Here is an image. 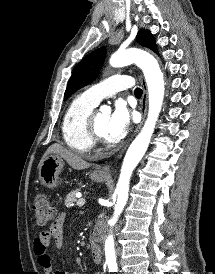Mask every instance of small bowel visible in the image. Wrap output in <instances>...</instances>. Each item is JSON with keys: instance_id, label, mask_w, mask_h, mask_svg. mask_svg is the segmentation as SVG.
<instances>
[{"instance_id": "1", "label": "small bowel", "mask_w": 215, "mask_h": 274, "mask_svg": "<svg viewBox=\"0 0 215 274\" xmlns=\"http://www.w3.org/2000/svg\"><path fill=\"white\" fill-rule=\"evenodd\" d=\"M65 222V214H60L49 230L42 231L35 237L34 253L38 259L40 266L45 274H81L78 272H66L62 270H53V265L50 255L47 253V247L53 241L56 248L60 249L63 246V225ZM95 274H102L100 272Z\"/></svg>"}]
</instances>
